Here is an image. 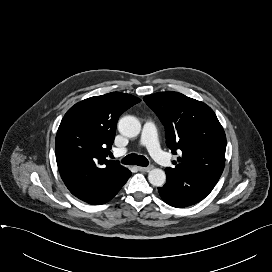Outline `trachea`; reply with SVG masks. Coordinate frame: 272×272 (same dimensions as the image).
<instances>
[{"label": "trachea", "instance_id": "1", "mask_svg": "<svg viewBox=\"0 0 272 272\" xmlns=\"http://www.w3.org/2000/svg\"><path fill=\"white\" fill-rule=\"evenodd\" d=\"M121 162L126 165H138L143 167H146L149 164L146 157L137 154H129L124 157Z\"/></svg>", "mask_w": 272, "mask_h": 272}]
</instances>
